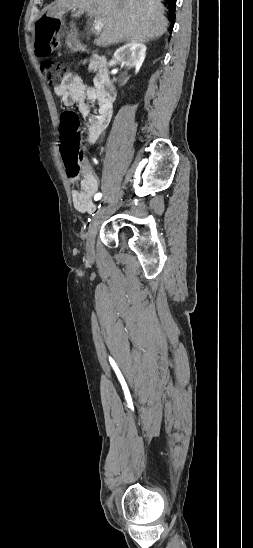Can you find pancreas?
<instances>
[{
  "mask_svg": "<svg viewBox=\"0 0 253 548\" xmlns=\"http://www.w3.org/2000/svg\"><path fill=\"white\" fill-rule=\"evenodd\" d=\"M89 69H90V70L96 71L95 65H94L93 63H91V64L89 65Z\"/></svg>",
  "mask_w": 253,
  "mask_h": 548,
  "instance_id": "cf45deb5",
  "label": "pancreas"
}]
</instances>
